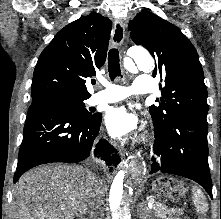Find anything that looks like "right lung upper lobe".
Returning a JSON list of instances; mask_svg holds the SVG:
<instances>
[{"mask_svg":"<svg viewBox=\"0 0 221 219\" xmlns=\"http://www.w3.org/2000/svg\"><path fill=\"white\" fill-rule=\"evenodd\" d=\"M111 21L91 12L61 29L42 51L32 82V103L52 98L88 99L86 79L106 60Z\"/></svg>","mask_w":221,"mask_h":219,"instance_id":"obj_1","label":"right lung upper lobe"}]
</instances>
